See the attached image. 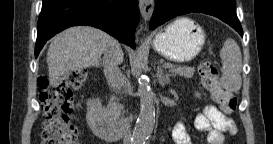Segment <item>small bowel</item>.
I'll return each instance as SVG.
<instances>
[{"instance_id": "1", "label": "small bowel", "mask_w": 273, "mask_h": 144, "mask_svg": "<svg viewBox=\"0 0 273 144\" xmlns=\"http://www.w3.org/2000/svg\"><path fill=\"white\" fill-rule=\"evenodd\" d=\"M194 125L198 131L205 134L208 144H223L224 133L236 135L238 132L235 122L214 105H206L195 117ZM173 139L176 144H192L189 134L180 122L173 129Z\"/></svg>"}]
</instances>
